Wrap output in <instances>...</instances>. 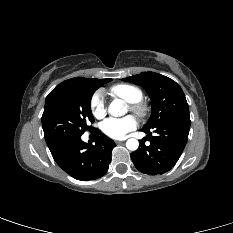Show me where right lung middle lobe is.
<instances>
[{
	"instance_id": "dd1d6c3e",
	"label": "right lung middle lobe",
	"mask_w": 233,
	"mask_h": 233,
	"mask_svg": "<svg viewBox=\"0 0 233 233\" xmlns=\"http://www.w3.org/2000/svg\"><path fill=\"white\" fill-rule=\"evenodd\" d=\"M85 83L70 89L61 90L46 98L42 115V126L46 143L52 146L64 139L80 136L87 126V121H94L90 102L94 92L104 83Z\"/></svg>"
}]
</instances>
